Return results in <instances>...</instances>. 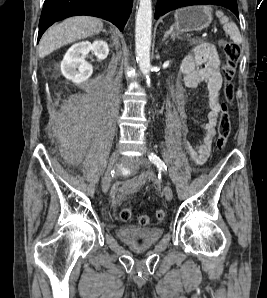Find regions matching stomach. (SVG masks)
Instances as JSON below:
<instances>
[{"instance_id":"1","label":"stomach","mask_w":267,"mask_h":298,"mask_svg":"<svg viewBox=\"0 0 267 298\" xmlns=\"http://www.w3.org/2000/svg\"><path fill=\"white\" fill-rule=\"evenodd\" d=\"M175 23L171 27L176 34L200 31L213 20L212 10L206 6H190L175 12Z\"/></svg>"}]
</instances>
